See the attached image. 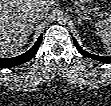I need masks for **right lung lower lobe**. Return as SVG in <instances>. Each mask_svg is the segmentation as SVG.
<instances>
[{"label": "right lung lower lobe", "mask_w": 111, "mask_h": 106, "mask_svg": "<svg viewBox=\"0 0 111 106\" xmlns=\"http://www.w3.org/2000/svg\"><path fill=\"white\" fill-rule=\"evenodd\" d=\"M42 40V35L38 38L34 46L29 49L27 52L16 56L12 58H1L0 59V68H10L14 67L17 65H20L22 63H25L26 61L30 60L37 52L39 49L40 43Z\"/></svg>", "instance_id": "obj_1"}]
</instances>
